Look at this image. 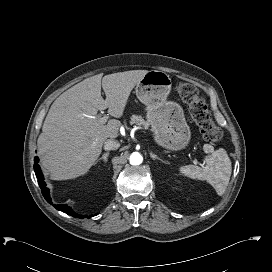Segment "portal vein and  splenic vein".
Returning a JSON list of instances; mask_svg holds the SVG:
<instances>
[{"label":"portal vein and splenic vein","mask_w":272,"mask_h":272,"mask_svg":"<svg viewBox=\"0 0 272 272\" xmlns=\"http://www.w3.org/2000/svg\"><path fill=\"white\" fill-rule=\"evenodd\" d=\"M108 119V116L107 115H104L103 117L100 118V121L102 123H105ZM194 163H198V161L196 159L193 160Z\"/></svg>","instance_id":"1"}]
</instances>
